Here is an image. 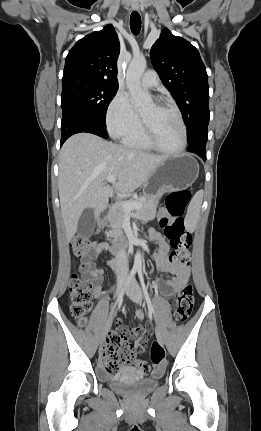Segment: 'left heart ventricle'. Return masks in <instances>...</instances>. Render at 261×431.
<instances>
[{
	"label": "left heart ventricle",
	"instance_id": "b2bd125f",
	"mask_svg": "<svg viewBox=\"0 0 261 431\" xmlns=\"http://www.w3.org/2000/svg\"><path fill=\"white\" fill-rule=\"evenodd\" d=\"M141 116L151 128L161 147L172 151L180 146L181 126L174 111L150 102L141 110Z\"/></svg>",
	"mask_w": 261,
	"mask_h": 431
}]
</instances>
